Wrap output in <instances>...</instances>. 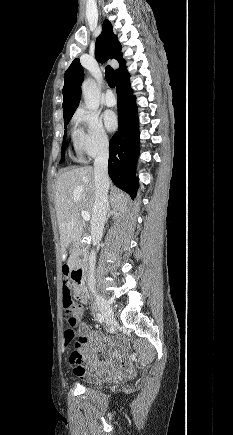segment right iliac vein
Listing matches in <instances>:
<instances>
[{
	"label": "right iliac vein",
	"mask_w": 233,
	"mask_h": 435,
	"mask_svg": "<svg viewBox=\"0 0 233 435\" xmlns=\"http://www.w3.org/2000/svg\"><path fill=\"white\" fill-rule=\"evenodd\" d=\"M94 298L98 305L99 310L101 311L102 315L106 320L107 325L108 326L112 325L115 319L108 301L102 295L97 293L94 294Z\"/></svg>",
	"instance_id": "63e3f726"
}]
</instances>
